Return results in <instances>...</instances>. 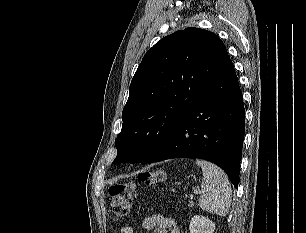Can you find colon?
<instances>
[{"label": "colon", "instance_id": "colon-1", "mask_svg": "<svg viewBox=\"0 0 306 233\" xmlns=\"http://www.w3.org/2000/svg\"><path fill=\"white\" fill-rule=\"evenodd\" d=\"M164 172L161 169L141 173L138 183L146 187H154L164 179ZM138 184L133 181L114 183L109 187L110 203L109 218L116 222L125 218L131 204L136 196Z\"/></svg>", "mask_w": 306, "mask_h": 233}]
</instances>
